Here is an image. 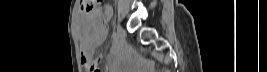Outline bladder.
Segmentation results:
<instances>
[{
    "mask_svg": "<svg viewBox=\"0 0 267 72\" xmlns=\"http://www.w3.org/2000/svg\"><path fill=\"white\" fill-rule=\"evenodd\" d=\"M89 23H91V20L90 19H86Z\"/></svg>",
    "mask_w": 267,
    "mask_h": 72,
    "instance_id": "obj_1",
    "label": "bladder"
}]
</instances>
